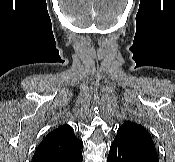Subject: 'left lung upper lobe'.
<instances>
[{
    "label": "left lung upper lobe",
    "instance_id": "1",
    "mask_svg": "<svg viewBox=\"0 0 175 162\" xmlns=\"http://www.w3.org/2000/svg\"><path fill=\"white\" fill-rule=\"evenodd\" d=\"M115 138H122L132 142L153 144L150 133L141 125L131 121H127L119 127Z\"/></svg>",
    "mask_w": 175,
    "mask_h": 162
}]
</instances>
